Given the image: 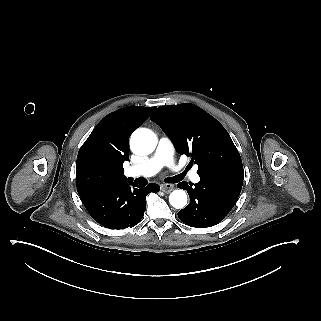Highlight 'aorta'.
<instances>
[{"label":"aorta","instance_id":"762f6f07","mask_svg":"<svg viewBox=\"0 0 321 321\" xmlns=\"http://www.w3.org/2000/svg\"><path fill=\"white\" fill-rule=\"evenodd\" d=\"M157 136L149 129L141 128L133 132L130 139L131 150L137 155L152 153L157 146ZM170 204L176 209H182L187 204V195L183 190H174L169 196Z\"/></svg>","mask_w":321,"mask_h":321}]
</instances>
